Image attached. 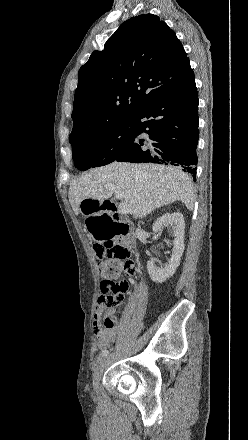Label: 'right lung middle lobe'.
Returning <instances> with one entry per match:
<instances>
[{
	"instance_id": "obj_1",
	"label": "right lung middle lobe",
	"mask_w": 248,
	"mask_h": 440,
	"mask_svg": "<svg viewBox=\"0 0 248 440\" xmlns=\"http://www.w3.org/2000/svg\"><path fill=\"white\" fill-rule=\"evenodd\" d=\"M132 132L133 123L128 119L97 135L69 137L75 167L85 171L116 161L127 151Z\"/></svg>"
}]
</instances>
